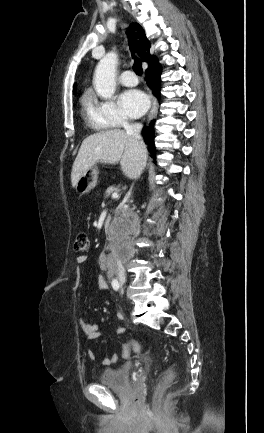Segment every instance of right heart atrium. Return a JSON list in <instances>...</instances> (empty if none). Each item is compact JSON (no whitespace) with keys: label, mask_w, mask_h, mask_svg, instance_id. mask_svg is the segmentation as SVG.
Masks as SVG:
<instances>
[{"label":"right heart atrium","mask_w":264,"mask_h":433,"mask_svg":"<svg viewBox=\"0 0 264 433\" xmlns=\"http://www.w3.org/2000/svg\"><path fill=\"white\" fill-rule=\"evenodd\" d=\"M91 108L98 120L106 126H121L128 124L126 115L112 99H91Z\"/></svg>","instance_id":"right-heart-atrium-1"}]
</instances>
